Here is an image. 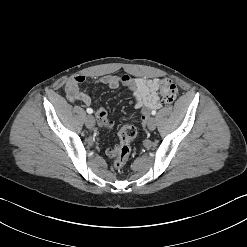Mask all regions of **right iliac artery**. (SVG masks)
<instances>
[{"mask_svg": "<svg viewBox=\"0 0 247 247\" xmlns=\"http://www.w3.org/2000/svg\"><path fill=\"white\" fill-rule=\"evenodd\" d=\"M86 111H87V113H89V114H92V113H93V110H92L91 108H87Z\"/></svg>", "mask_w": 247, "mask_h": 247, "instance_id": "82829eb1", "label": "right iliac artery"}]
</instances>
